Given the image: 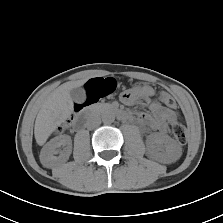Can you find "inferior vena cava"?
Returning a JSON list of instances; mask_svg holds the SVG:
<instances>
[{
  "instance_id": "1",
  "label": "inferior vena cava",
  "mask_w": 223,
  "mask_h": 223,
  "mask_svg": "<svg viewBox=\"0 0 223 223\" xmlns=\"http://www.w3.org/2000/svg\"><path fill=\"white\" fill-rule=\"evenodd\" d=\"M101 123L100 118L98 117H93L91 118L88 123H87V128L91 129V128H95L97 126H99Z\"/></svg>"
}]
</instances>
